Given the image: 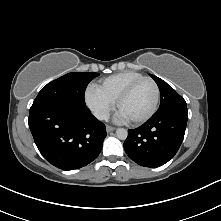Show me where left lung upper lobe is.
<instances>
[{"instance_id":"1","label":"left lung upper lobe","mask_w":221,"mask_h":221,"mask_svg":"<svg viewBox=\"0 0 221 221\" xmlns=\"http://www.w3.org/2000/svg\"><path fill=\"white\" fill-rule=\"evenodd\" d=\"M151 77L157 83L161 94V102L157 113H161L175 107H186V102L183 97H181L172 87H170L162 79L152 74Z\"/></svg>"}]
</instances>
